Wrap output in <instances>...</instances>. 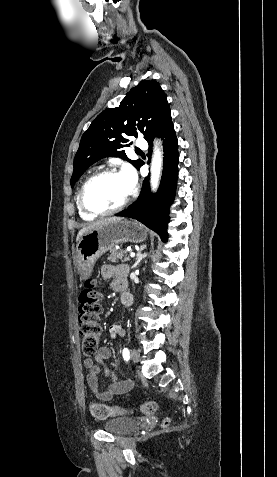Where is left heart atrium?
Listing matches in <instances>:
<instances>
[{
    "mask_svg": "<svg viewBox=\"0 0 277 477\" xmlns=\"http://www.w3.org/2000/svg\"><path fill=\"white\" fill-rule=\"evenodd\" d=\"M121 175L124 179L128 192L131 193L137 184V175L135 170L131 166H126L121 172Z\"/></svg>",
    "mask_w": 277,
    "mask_h": 477,
    "instance_id": "39dd6f15",
    "label": "left heart atrium"
}]
</instances>
